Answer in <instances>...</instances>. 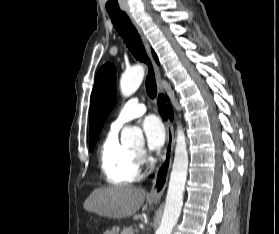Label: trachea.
<instances>
[{
  "mask_svg": "<svg viewBox=\"0 0 279 234\" xmlns=\"http://www.w3.org/2000/svg\"><path fill=\"white\" fill-rule=\"evenodd\" d=\"M109 16L112 23L123 38L126 46L132 55L139 61L144 62L148 66V75L146 77V92L150 98H155L157 94L156 80L154 76V70L152 64L146 54L145 48L143 46L142 40L138 31L131 23L128 15L125 12H109Z\"/></svg>",
  "mask_w": 279,
  "mask_h": 234,
  "instance_id": "trachea-1",
  "label": "trachea"
}]
</instances>
